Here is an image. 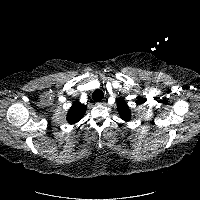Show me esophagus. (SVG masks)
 Instances as JSON below:
<instances>
[{"instance_id":"obj_1","label":"esophagus","mask_w":200,"mask_h":200,"mask_svg":"<svg viewBox=\"0 0 200 200\" xmlns=\"http://www.w3.org/2000/svg\"><path fill=\"white\" fill-rule=\"evenodd\" d=\"M98 104H100V105H104L105 102H104V101H101V102H99Z\"/></svg>"}]
</instances>
